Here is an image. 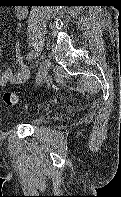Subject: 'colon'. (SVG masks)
<instances>
[{
    "label": "colon",
    "instance_id": "5ec220e1",
    "mask_svg": "<svg viewBox=\"0 0 121 197\" xmlns=\"http://www.w3.org/2000/svg\"><path fill=\"white\" fill-rule=\"evenodd\" d=\"M3 102L7 106H13L18 102V98L14 93L5 92L3 94Z\"/></svg>",
    "mask_w": 121,
    "mask_h": 197
}]
</instances>
